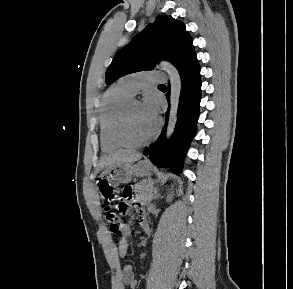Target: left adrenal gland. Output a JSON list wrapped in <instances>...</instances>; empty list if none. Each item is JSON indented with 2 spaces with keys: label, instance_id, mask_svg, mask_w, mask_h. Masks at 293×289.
Masks as SVG:
<instances>
[{
  "label": "left adrenal gland",
  "instance_id": "left-adrenal-gland-1",
  "mask_svg": "<svg viewBox=\"0 0 293 289\" xmlns=\"http://www.w3.org/2000/svg\"><path fill=\"white\" fill-rule=\"evenodd\" d=\"M157 192H158V191L156 190V196H157V198H158V197H159V193L157 194Z\"/></svg>",
  "mask_w": 293,
  "mask_h": 289
}]
</instances>
